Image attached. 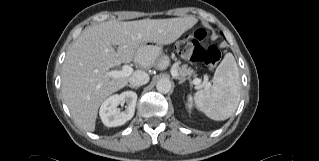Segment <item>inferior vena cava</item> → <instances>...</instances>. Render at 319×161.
Listing matches in <instances>:
<instances>
[{
    "label": "inferior vena cava",
    "mask_w": 319,
    "mask_h": 161,
    "mask_svg": "<svg viewBox=\"0 0 319 161\" xmlns=\"http://www.w3.org/2000/svg\"><path fill=\"white\" fill-rule=\"evenodd\" d=\"M149 75L144 71H135L129 77V83L132 86L139 87L149 82Z\"/></svg>",
    "instance_id": "obj_1"
}]
</instances>
